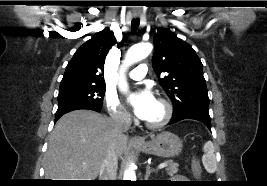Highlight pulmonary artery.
<instances>
[{"label":"pulmonary artery","mask_w":267,"mask_h":186,"mask_svg":"<svg viewBox=\"0 0 267 186\" xmlns=\"http://www.w3.org/2000/svg\"><path fill=\"white\" fill-rule=\"evenodd\" d=\"M147 71L148 67L146 64H139L129 72V77L133 80H139L147 74Z\"/></svg>","instance_id":"e3ab8cb5"}]
</instances>
